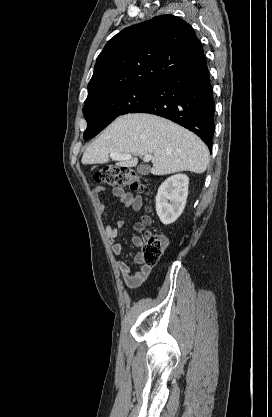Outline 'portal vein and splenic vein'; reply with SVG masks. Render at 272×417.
Listing matches in <instances>:
<instances>
[{
    "instance_id": "portal-vein-and-splenic-vein-1",
    "label": "portal vein and splenic vein",
    "mask_w": 272,
    "mask_h": 417,
    "mask_svg": "<svg viewBox=\"0 0 272 417\" xmlns=\"http://www.w3.org/2000/svg\"><path fill=\"white\" fill-rule=\"evenodd\" d=\"M110 157L112 159L118 160V161H120V160H129V159L132 158L131 154H119V153H116V152H111ZM144 159L146 161H150L152 159V155L151 154H146L144 156Z\"/></svg>"
}]
</instances>
